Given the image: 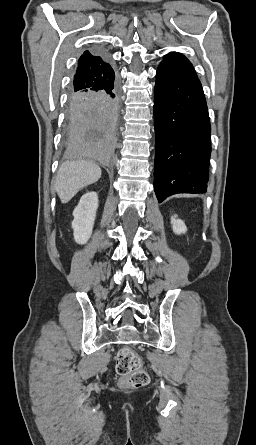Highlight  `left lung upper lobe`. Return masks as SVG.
Returning <instances> with one entry per match:
<instances>
[{
  "instance_id": "1",
  "label": "left lung upper lobe",
  "mask_w": 256,
  "mask_h": 445,
  "mask_svg": "<svg viewBox=\"0 0 256 445\" xmlns=\"http://www.w3.org/2000/svg\"><path fill=\"white\" fill-rule=\"evenodd\" d=\"M161 63H167L181 71H184L191 75H196V72L190 63V61L180 53L170 52L165 55ZM197 76V75H196Z\"/></svg>"
}]
</instances>
